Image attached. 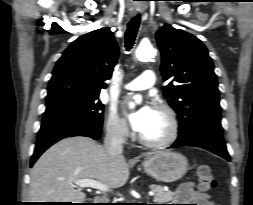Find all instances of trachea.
Returning a JSON list of instances; mask_svg holds the SVG:
<instances>
[{"label": "trachea", "mask_w": 253, "mask_h": 205, "mask_svg": "<svg viewBox=\"0 0 253 205\" xmlns=\"http://www.w3.org/2000/svg\"><path fill=\"white\" fill-rule=\"evenodd\" d=\"M139 25H140V15H136L129 21L127 30L125 33L126 50H130L133 47Z\"/></svg>", "instance_id": "1"}]
</instances>
